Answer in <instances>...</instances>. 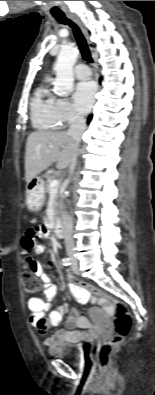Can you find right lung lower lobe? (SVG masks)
<instances>
[{
	"label": "right lung lower lobe",
	"mask_w": 155,
	"mask_h": 395,
	"mask_svg": "<svg viewBox=\"0 0 155 395\" xmlns=\"http://www.w3.org/2000/svg\"><path fill=\"white\" fill-rule=\"evenodd\" d=\"M91 117H92V116L90 115L89 118H88V122L91 120Z\"/></svg>",
	"instance_id": "right-lung-lower-lobe-1"
}]
</instances>
